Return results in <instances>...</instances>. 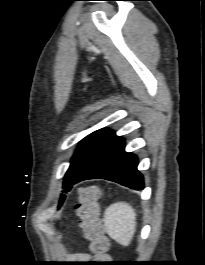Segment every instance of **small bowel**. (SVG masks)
I'll return each mask as SVG.
<instances>
[{
	"mask_svg": "<svg viewBox=\"0 0 205 265\" xmlns=\"http://www.w3.org/2000/svg\"><path fill=\"white\" fill-rule=\"evenodd\" d=\"M77 259L80 260V261H85L88 259V255L87 254H84V253H80L78 254L77 256Z\"/></svg>",
	"mask_w": 205,
	"mask_h": 265,
	"instance_id": "obj_1",
	"label": "small bowel"
}]
</instances>
